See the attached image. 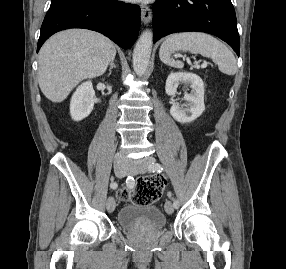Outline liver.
Wrapping results in <instances>:
<instances>
[{
  "label": "liver",
  "instance_id": "1",
  "mask_svg": "<svg viewBox=\"0 0 286 269\" xmlns=\"http://www.w3.org/2000/svg\"><path fill=\"white\" fill-rule=\"evenodd\" d=\"M115 55L114 43L100 33L86 29L57 33L40 49L39 87L52 102H62L80 81L104 74Z\"/></svg>",
  "mask_w": 286,
  "mask_h": 269
}]
</instances>
